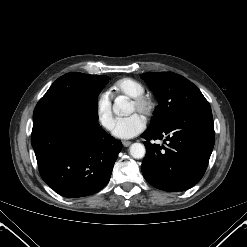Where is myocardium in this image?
Instances as JSON below:
<instances>
[{
  "label": "myocardium",
  "mask_w": 247,
  "mask_h": 247,
  "mask_svg": "<svg viewBox=\"0 0 247 247\" xmlns=\"http://www.w3.org/2000/svg\"><path fill=\"white\" fill-rule=\"evenodd\" d=\"M132 104H134L136 111L145 116L151 115L154 109V103L152 99L145 95H140L132 98Z\"/></svg>",
  "instance_id": "obj_1"
}]
</instances>
